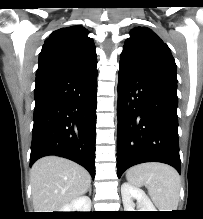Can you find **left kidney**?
I'll use <instances>...</instances> for the list:
<instances>
[{"label": "left kidney", "mask_w": 203, "mask_h": 219, "mask_svg": "<svg viewBox=\"0 0 203 219\" xmlns=\"http://www.w3.org/2000/svg\"><path fill=\"white\" fill-rule=\"evenodd\" d=\"M121 195L125 211H135V204L132 199L137 200L139 211H156L145 192L130 183L125 182L122 184Z\"/></svg>", "instance_id": "5707ae66"}]
</instances>
